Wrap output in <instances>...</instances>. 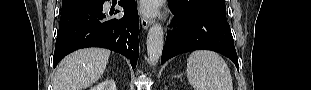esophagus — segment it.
Returning <instances> with one entry per match:
<instances>
[{
  "label": "esophagus",
  "mask_w": 311,
  "mask_h": 90,
  "mask_svg": "<svg viewBox=\"0 0 311 90\" xmlns=\"http://www.w3.org/2000/svg\"><path fill=\"white\" fill-rule=\"evenodd\" d=\"M151 25V20L147 18L145 15L141 16V26L144 30L148 29V27Z\"/></svg>",
  "instance_id": "1"
}]
</instances>
